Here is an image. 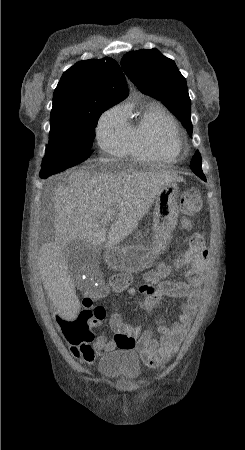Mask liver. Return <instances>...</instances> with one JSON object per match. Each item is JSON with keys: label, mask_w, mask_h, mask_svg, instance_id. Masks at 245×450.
I'll return each instance as SVG.
<instances>
[{"label": "liver", "mask_w": 245, "mask_h": 450, "mask_svg": "<svg viewBox=\"0 0 245 450\" xmlns=\"http://www.w3.org/2000/svg\"><path fill=\"white\" fill-rule=\"evenodd\" d=\"M177 175L136 170L74 171L67 183L54 189L55 241L43 245L38 253V267L43 285L58 312L74 318L80 303L69 273L65 250L74 240L96 248L106 241V248L117 246L138 226L150 210L160 188L180 182ZM112 210L108 235L101 220Z\"/></svg>", "instance_id": "1"}]
</instances>
